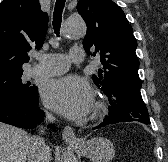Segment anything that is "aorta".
<instances>
[{
    "label": "aorta",
    "instance_id": "obj_1",
    "mask_svg": "<svg viewBox=\"0 0 168 162\" xmlns=\"http://www.w3.org/2000/svg\"><path fill=\"white\" fill-rule=\"evenodd\" d=\"M86 33V26L80 18H68L63 25L62 35L67 39L81 38ZM63 162H77L75 155L67 151L64 155Z\"/></svg>",
    "mask_w": 168,
    "mask_h": 162
}]
</instances>
